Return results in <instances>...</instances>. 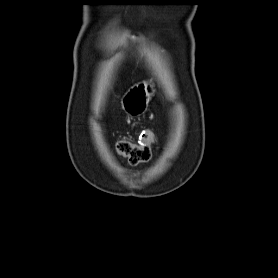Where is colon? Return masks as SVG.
Listing matches in <instances>:
<instances>
[{
	"mask_svg": "<svg viewBox=\"0 0 278 278\" xmlns=\"http://www.w3.org/2000/svg\"><path fill=\"white\" fill-rule=\"evenodd\" d=\"M154 141V133L150 130H146L142 133L138 143L122 140L117 143L116 150L121 156L126 157L130 163L136 164L146 161L150 157V146Z\"/></svg>",
	"mask_w": 278,
	"mask_h": 278,
	"instance_id": "1",
	"label": "colon"
}]
</instances>
